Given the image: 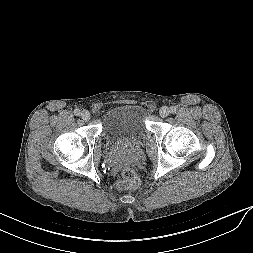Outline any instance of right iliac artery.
Instances as JSON below:
<instances>
[{
	"label": "right iliac artery",
	"instance_id": "82829eb1",
	"mask_svg": "<svg viewBox=\"0 0 253 253\" xmlns=\"http://www.w3.org/2000/svg\"><path fill=\"white\" fill-rule=\"evenodd\" d=\"M74 114H75L76 116H79V115L81 114V112H80L79 109H75V110H74Z\"/></svg>",
	"mask_w": 253,
	"mask_h": 253
}]
</instances>
